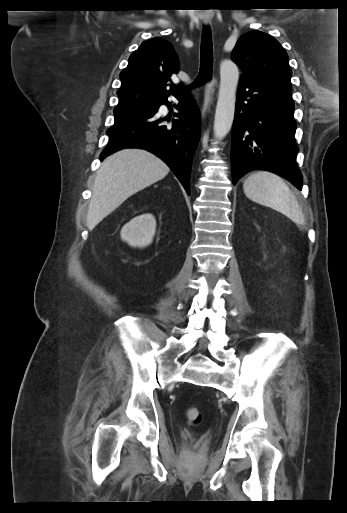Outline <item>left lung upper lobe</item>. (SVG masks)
<instances>
[{"label":"left lung upper lobe","instance_id":"5c2ea615","mask_svg":"<svg viewBox=\"0 0 347 513\" xmlns=\"http://www.w3.org/2000/svg\"><path fill=\"white\" fill-rule=\"evenodd\" d=\"M232 60L242 70V79L290 83L292 71L287 53L276 39L264 32L243 34L232 52Z\"/></svg>","mask_w":347,"mask_h":513}]
</instances>
